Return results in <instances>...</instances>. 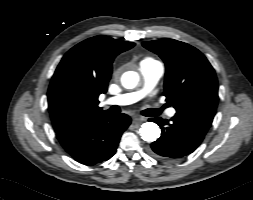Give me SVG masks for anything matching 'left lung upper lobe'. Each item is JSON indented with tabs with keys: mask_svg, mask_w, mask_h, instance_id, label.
Returning a JSON list of instances; mask_svg holds the SVG:
<instances>
[{
	"mask_svg": "<svg viewBox=\"0 0 253 200\" xmlns=\"http://www.w3.org/2000/svg\"><path fill=\"white\" fill-rule=\"evenodd\" d=\"M166 65L164 95L177 113L212 123L218 103L215 71L206 57L186 43L163 39L142 43Z\"/></svg>",
	"mask_w": 253,
	"mask_h": 200,
	"instance_id": "5c2ea615",
	"label": "left lung upper lobe"
}]
</instances>
